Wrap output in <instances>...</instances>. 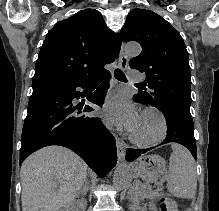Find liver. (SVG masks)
Listing matches in <instances>:
<instances>
[{
  "instance_id": "6515ba94",
  "label": "liver",
  "mask_w": 219,
  "mask_h": 211,
  "mask_svg": "<svg viewBox=\"0 0 219 211\" xmlns=\"http://www.w3.org/2000/svg\"><path fill=\"white\" fill-rule=\"evenodd\" d=\"M89 167L77 153L48 145L31 153L20 169L22 211H60L86 185Z\"/></svg>"
}]
</instances>
